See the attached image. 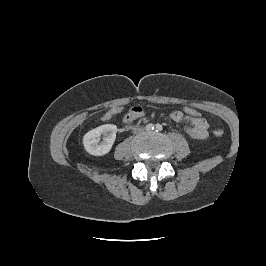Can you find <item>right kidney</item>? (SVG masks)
<instances>
[{
    "mask_svg": "<svg viewBox=\"0 0 266 266\" xmlns=\"http://www.w3.org/2000/svg\"><path fill=\"white\" fill-rule=\"evenodd\" d=\"M117 126L113 124L101 125L87 132L83 137L85 150L94 156L107 154L116 139ZM102 135V141L100 137Z\"/></svg>",
    "mask_w": 266,
    "mask_h": 266,
    "instance_id": "ca27d5eb",
    "label": "right kidney"
}]
</instances>
